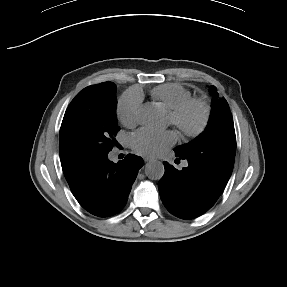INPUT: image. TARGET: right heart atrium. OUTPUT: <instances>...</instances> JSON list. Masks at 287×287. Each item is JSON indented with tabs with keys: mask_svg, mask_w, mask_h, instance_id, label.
Wrapping results in <instances>:
<instances>
[{
	"mask_svg": "<svg viewBox=\"0 0 287 287\" xmlns=\"http://www.w3.org/2000/svg\"><path fill=\"white\" fill-rule=\"evenodd\" d=\"M120 121L127 127L136 126L141 117V97L138 93L127 92L121 96L117 105Z\"/></svg>",
	"mask_w": 287,
	"mask_h": 287,
	"instance_id": "d8ad5b80",
	"label": "right heart atrium"
}]
</instances>
